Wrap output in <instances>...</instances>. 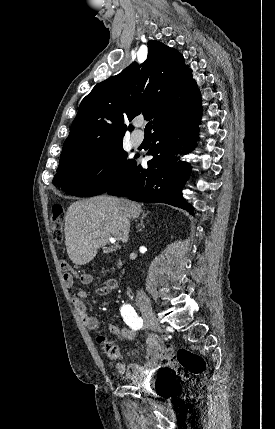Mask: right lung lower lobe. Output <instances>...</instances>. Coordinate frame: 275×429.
<instances>
[{
  "label": "right lung lower lobe",
  "mask_w": 275,
  "mask_h": 429,
  "mask_svg": "<svg viewBox=\"0 0 275 429\" xmlns=\"http://www.w3.org/2000/svg\"><path fill=\"white\" fill-rule=\"evenodd\" d=\"M200 112L196 115L163 126L153 133V144L148 155V168L134 167L110 195L126 196L130 200L147 203H167L193 213V207L182 197V189L190 175V164L178 154L191 152L198 139Z\"/></svg>",
  "instance_id": "right-lung-lower-lobe-1"
}]
</instances>
